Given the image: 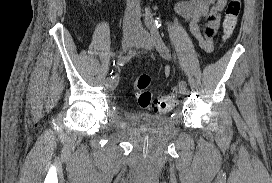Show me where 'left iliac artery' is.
Segmentation results:
<instances>
[{
	"mask_svg": "<svg viewBox=\"0 0 272 183\" xmlns=\"http://www.w3.org/2000/svg\"><path fill=\"white\" fill-rule=\"evenodd\" d=\"M150 32L160 55L166 60H171V53L166 44L164 43V41L162 40L159 31L154 25H151ZM186 86L187 84L185 81L182 80L179 82L180 88H185Z\"/></svg>",
	"mask_w": 272,
	"mask_h": 183,
	"instance_id": "left-iliac-artery-1",
	"label": "left iliac artery"
}]
</instances>
